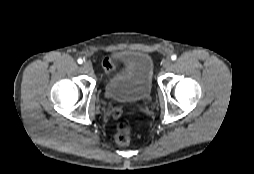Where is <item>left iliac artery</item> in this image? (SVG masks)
Here are the masks:
<instances>
[{
  "instance_id": "1",
  "label": "left iliac artery",
  "mask_w": 254,
  "mask_h": 174,
  "mask_svg": "<svg viewBox=\"0 0 254 174\" xmlns=\"http://www.w3.org/2000/svg\"><path fill=\"white\" fill-rule=\"evenodd\" d=\"M176 58H177L176 55H172V56H171V59H172L173 61L176 60Z\"/></svg>"
}]
</instances>
